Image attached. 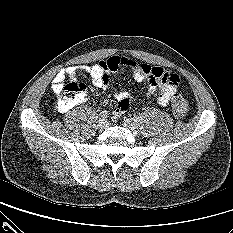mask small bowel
Wrapping results in <instances>:
<instances>
[{
  "mask_svg": "<svg viewBox=\"0 0 233 233\" xmlns=\"http://www.w3.org/2000/svg\"><path fill=\"white\" fill-rule=\"evenodd\" d=\"M120 67L128 68L137 82L146 81L149 96L158 92L156 104L159 106H166L178 88L179 76L177 73L158 66L139 63L130 56L116 55L91 66H69L61 69L52 81V90L55 94H60L67 79L76 80L78 71L89 74L95 87L106 89L110 84L111 75ZM116 99L118 103L112 110L115 117H120L130 110L136 101V97L125 90L117 91Z\"/></svg>",
  "mask_w": 233,
  "mask_h": 233,
  "instance_id": "small-bowel-1",
  "label": "small bowel"
}]
</instances>
